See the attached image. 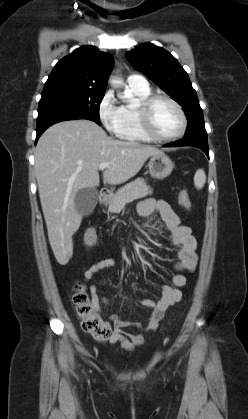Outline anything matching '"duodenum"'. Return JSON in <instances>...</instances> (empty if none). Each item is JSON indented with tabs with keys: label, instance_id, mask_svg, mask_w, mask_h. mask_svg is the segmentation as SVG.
Returning a JSON list of instances; mask_svg holds the SVG:
<instances>
[{
	"label": "duodenum",
	"instance_id": "410a0bca",
	"mask_svg": "<svg viewBox=\"0 0 248 419\" xmlns=\"http://www.w3.org/2000/svg\"><path fill=\"white\" fill-rule=\"evenodd\" d=\"M110 198V193L107 189H102L100 191V204L101 205H106L108 200Z\"/></svg>",
	"mask_w": 248,
	"mask_h": 419
}]
</instances>
